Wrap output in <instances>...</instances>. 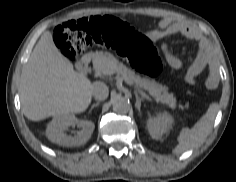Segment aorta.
Returning <instances> with one entry per match:
<instances>
[{
	"instance_id": "obj_1",
	"label": "aorta",
	"mask_w": 236,
	"mask_h": 182,
	"mask_svg": "<svg viewBox=\"0 0 236 182\" xmlns=\"http://www.w3.org/2000/svg\"><path fill=\"white\" fill-rule=\"evenodd\" d=\"M113 110L118 114H126L130 109L129 102L123 97H116L112 103Z\"/></svg>"
}]
</instances>
